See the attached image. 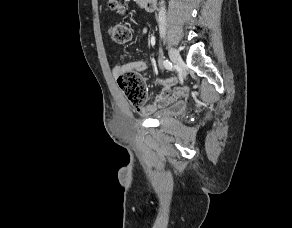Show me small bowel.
<instances>
[{
  "instance_id": "1",
  "label": "small bowel",
  "mask_w": 292,
  "mask_h": 228,
  "mask_svg": "<svg viewBox=\"0 0 292 228\" xmlns=\"http://www.w3.org/2000/svg\"><path fill=\"white\" fill-rule=\"evenodd\" d=\"M148 32V28H144V33ZM146 69L147 62L139 60L115 65L112 69V73L114 76L118 77L119 75L127 71H135L137 73H140L145 71ZM177 81V77H156L155 82L161 85L163 88L155 101L151 104L144 105L141 108H138V113H140L141 115L153 114L161 109L168 107L172 103H175L181 97L186 96L189 93V88L187 86L175 88L173 91L171 90V87L174 86Z\"/></svg>"
}]
</instances>
